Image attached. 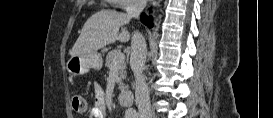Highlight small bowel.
Listing matches in <instances>:
<instances>
[{
	"mask_svg": "<svg viewBox=\"0 0 273 118\" xmlns=\"http://www.w3.org/2000/svg\"><path fill=\"white\" fill-rule=\"evenodd\" d=\"M106 116V97L100 85L94 87V105L90 110V118H105Z\"/></svg>",
	"mask_w": 273,
	"mask_h": 118,
	"instance_id": "1",
	"label": "small bowel"
}]
</instances>
